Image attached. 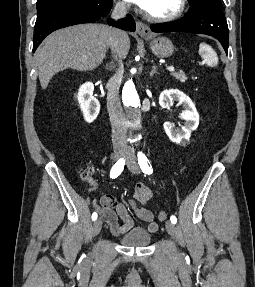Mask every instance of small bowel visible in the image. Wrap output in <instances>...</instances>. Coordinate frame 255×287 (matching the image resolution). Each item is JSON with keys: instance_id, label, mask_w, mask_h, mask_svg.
Instances as JSON below:
<instances>
[{"instance_id": "small-bowel-1", "label": "small bowel", "mask_w": 255, "mask_h": 287, "mask_svg": "<svg viewBox=\"0 0 255 287\" xmlns=\"http://www.w3.org/2000/svg\"><path fill=\"white\" fill-rule=\"evenodd\" d=\"M152 197L153 193L149 187L138 184L134 189L133 199L128 202V205L117 202L111 195H104L101 197L100 205H94V208L98 210L114 236H122L133 226L128 206L138 219L147 223V229L150 232H155L158 229L155 215L151 210L142 206L148 203Z\"/></svg>"}]
</instances>
